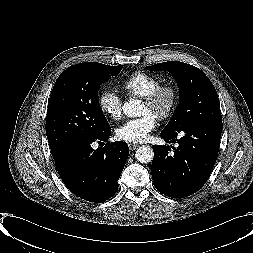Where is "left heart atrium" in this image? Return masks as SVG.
<instances>
[{"instance_id": "1", "label": "left heart atrium", "mask_w": 253, "mask_h": 253, "mask_svg": "<svg viewBox=\"0 0 253 253\" xmlns=\"http://www.w3.org/2000/svg\"><path fill=\"white\" fill-rule=\"evenodd\" d=\"M156 128V118L144 114L137 119H129L116 129V136L127 142L141 143L149 138L150 133Z\"/></svg>"}]
</instances>
